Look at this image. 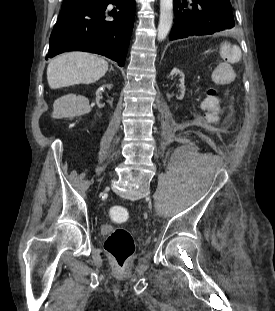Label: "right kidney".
Returning a JSON list of instances; mask_svg holds the SVG:
<instances>
[{
  "instance_id": "1",
  "label": "right kidney",
  "mask_w": 275,
  "mask_h": 311,
  "mask_svg": "<svg viewBox=\"0 0 275 311\" xmlns=\"http://www.w3.org/2000/svg\"><path fill=\"white\" fill-rule=\"evenodd\" d=\"M112 86L110 84H105L103 87H98L95 95V104L98 108H107V100L110 97H114V90H111Z\"/></svg>"
}]
</instances>
